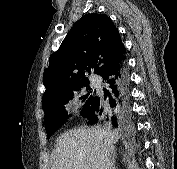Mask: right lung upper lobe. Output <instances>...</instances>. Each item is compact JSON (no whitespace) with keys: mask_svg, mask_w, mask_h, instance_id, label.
Here are the masks:
<instances>
[{"mask_svg":"<svg viewBox=\"0 0 177 169\" xmlns=\"http://www.w3.org/2000/svg\"><path fill=\"white\" fill-rule=\"evenodd\" d=\"M125 47L112 20L103 14H86L70 30L52 54L44 71L43 105L52 103L75 87L88 84L85 76L94 68L100 74L125 59Z\"/></svg>","mask_w":177,"mask_h":169,"instance_id":"obj_1","label":"right lung upper lobe"}]
</instances>
